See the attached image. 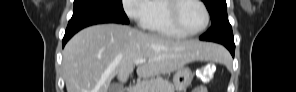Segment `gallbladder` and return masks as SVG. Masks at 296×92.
Instances as JSON below:
<instances>
[{
    "instance_id": "bac80fb5",
    "label": "gallbladder",
    "mask_w": 296,
    "mask_h": 92,
    "mask_svg": "<svg viewBox=\"0 0 296 92\" xmlns=\"http://www.w3.org/2000/svg\"><path fill=\"white\" fill-rule=\"evenodd\" d=\"M123 86L120 84H112L109 87V92H122Z\"/></svg>"
}]
</instances>
